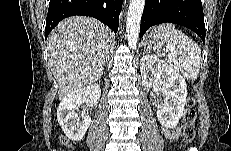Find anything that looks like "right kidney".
Masks as SVG:
<instances>
[{"label": "right kidney", "mask_w": 231, "mask_h": 151, "mask_svg": "<svg viewBox=\"0 0 231 151\" xmlns=\"http://www.w3.org/2000/svg\"><path fill=\"white\" fill-rule=\"evenodd\" d=\"M101 95L98 84L87 85L65 96L57 109V120L66 134L72 141L83 139L91 123L89 108L97 105ZM83 102H86L88 109L77 113Z\"/></svg>", "instance_id": "obj_1"}]
</instances>
